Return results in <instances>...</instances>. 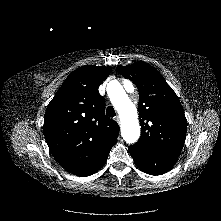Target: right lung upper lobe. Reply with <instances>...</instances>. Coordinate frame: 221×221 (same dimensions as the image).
Here are the masks:
<instances>
[{
    "label": "right lung upper lobe",
    "mask_w": 221,
    "mask_h": 221,
    "mask_svg": "<svg viewBox=\"0 0 221 221\" xmlns=\"http://www.w3.org/2000/svg\"><path fill=\"white\" fill-rule=\"evenodd\" d=\"M109 66H82L73 71L49 103L44 136L63 168L74 172L95 163L117 142L118 124L105 116L98 87Z\"/></svg>",
    "instance_id": "obj_1"
}]
</instances>
